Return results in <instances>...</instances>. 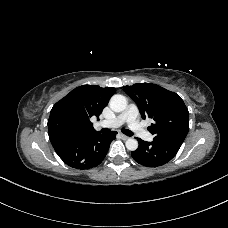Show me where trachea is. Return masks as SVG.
I'll return each mask as SVG.
<instances>
[{
  "label": "trachea",
  "instance_id": "1",
  "mask_svg": "<svg viewBox=\"0 0 228 228\" xmlns=\"http://www.w3.org/2000/svg\"><path fill=\"white\" fill-rule=\"evenodd\" d=\"M121 131H122V133H124L127 136H132L133 135V133L130 130H128V129H122ZM109 132H110V130L107 129V128L102 129V133H109Z\"/></svg>",
  "mask_w": 228,
  "mask_h": 228
}]
</instances>
